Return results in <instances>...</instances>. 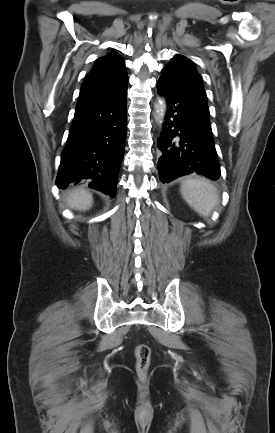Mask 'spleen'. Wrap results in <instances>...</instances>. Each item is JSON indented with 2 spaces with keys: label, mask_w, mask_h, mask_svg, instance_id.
Masks as SVG:
<instances>
[{
  "label": "spleen",
  "mask_w": 275,
  "mask_h": 433,
  "mask_svg": "<svg viewBox=\"0 0 275 433\" xmlns=\"http://www.w3.org/2000/svg\"><path fill=\"white\" fill-rule=\"evenodd\" d=\"M184 200L201 216H208L217 203L214 186L205 179H189L181 186Z\"/></svg>",
  "instance_id": "spleen-1"
}]
</instances>
